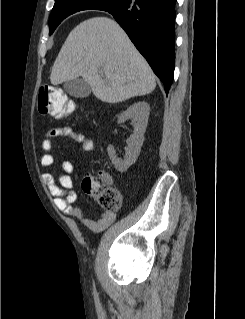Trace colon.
<instances>
[{"mask_svg": "<svg viewBox=\"0 0 245 319\" xmlns=\"http://www.w3.org/2000/svg\"><path fill=\"white\" fill-rule=\"evenodd\" d=\"M75 108L58 87L45 85L39 90L38 111L42 115L64 116ZM84 192L92 195L106 211H116L121 205L120 193L106 182V174L86 177L82 181Z\"/></svg>", "mask_w": 245, "mask_h": 319, "instance_id": "colon-1", "label": "colon"}]
</instances>
